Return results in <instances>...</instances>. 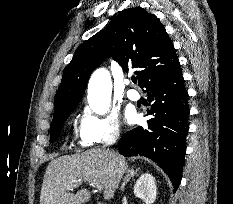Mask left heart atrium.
<instances>
[{
	"label": "left heart atrium",
	"mask_w": 233,
	"mask_h": 204,
	"mask_svg": "<svg viewBox=\"0 0 233 204\" xmlns=\"http://www.w3.org/2000/svg\"><path fill=\"white\" fill-rule=\"evenodd\" d=\"M126 119L128 122H134L136 119V114L133 111L126 112Z\"/></svg>",
	"instance_id": "obj_1"
}]
</instances>
